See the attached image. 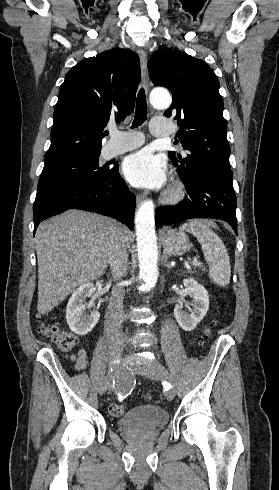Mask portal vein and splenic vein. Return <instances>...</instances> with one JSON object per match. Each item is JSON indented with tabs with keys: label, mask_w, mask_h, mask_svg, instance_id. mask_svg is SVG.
<instances>
[{
	"label": "portal vein and splenic vein",
	"mask_w": 279,
	"mask_h": 490,
	"mask_svg": "<svg viewBox=\"0 0 279 490\" xmlns=\"http://www.w3.org/2000/svg\"><path fill=\"white\" fill-rule=\"evenodd\" d=\"M192 266H201L200 262H197V260H193Z\"/></svg>",
	"instance_id": "obj_1"
}]
</instances>
